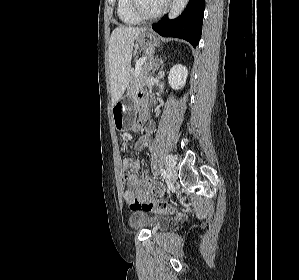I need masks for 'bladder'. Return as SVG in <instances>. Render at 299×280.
Here are the masks:
<instances>
[{"label": "bladder", "instance_id": "obj_1", "mask_svg": "<svg viewBox=\"0 0 299 280\" xmlns=\"http://www.w3.org/2000/svg\"><path fill=\"white\" fill-rule=\"evenodd\" d=\"M167 220L161 216L147 217L144 214L134 213L130 217V224L134 227L146 226L151 231L157 230L166 224Z\"/></svg>", "mask_w": 299, "mask_h": 280}]
</instances>
